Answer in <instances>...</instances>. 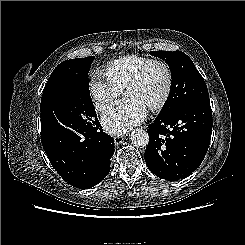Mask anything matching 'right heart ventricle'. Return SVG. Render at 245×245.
<instances>
[{"label":"right heart ventricle","instance_id":"1","mask_svg":"<svg viewBox=\"0 0 245 245\" xmlns=\"http://www.w3.org/2000/svg\"><path fill=\"white\" fill-rule=\"evenodd\" d=\"M148 57L140 55H126L109 62L105 68L106 77L120 90L134 73L143 65Z\"/></svg>","mask_w":245,"mask_h":245}]
</instances>
